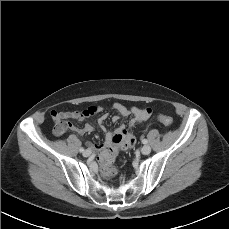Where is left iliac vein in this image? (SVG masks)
Returning a JSON list of instances; mask_svg holds the SVG:
<instances>
[{"mask_svg":"<svg viewBox=\"0 0 229 229\" xmlns=\"http://www.w3.org/2000/svg\"><path fill=\"white\" fill-rule=\"evenodd\" d=\"M151 152V147L149 145H144L142 148H141V153L144 154V155H147Z\"/></svg>","mask_w":229,"mask_h":229,"instance_id":"left-iliac-vein-1","label":"left iliac vein"}]
</instances>
